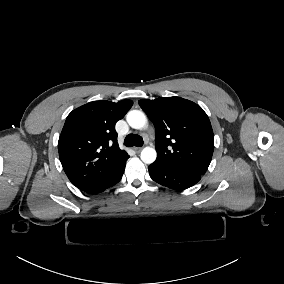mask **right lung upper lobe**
Returning <instances> with one entry per match:
<instances>
[{
	"label": "right lung upper lobe",
	"mask_w": 284,
	"mask_h": 284,
	"mask_svg": "<svg viewBox=\"0 0 284 284\" xmlns=\"http://www.w3.org/2000/svg\"><path fill=\"white\" fill-rule=\"evenodd\" d=\"M132 105L127 99L94 101L66 118L58 141L59 158L69 180L82 191L104 181L129 157L118 146L115 124Z\"/></svg>",
	"instance_id": "1"
}]
</instances>
